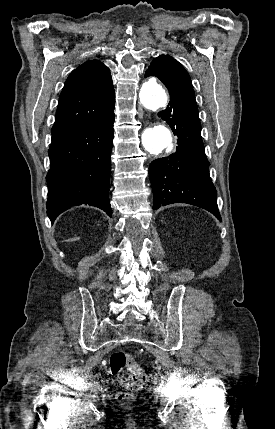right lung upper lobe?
I'll return each mask as SVG.
<instances>
[{"instance_id": "right-lung-upper-lobe-1", "label": "right lung upper lobe", "mask_w": 275, "mask_h": 429, "mask_svg": "<svg viewBox=\"0 0 275 429\" xmlns=\"http://www.w3.org/2000/svg\"><path fill=\"white\" fill-rule=\"evenodd\" d=\"M114 102L109 68L98 60L83 63L65 82L51 134L109 118Z\"/></svg>"}]
</instances>
